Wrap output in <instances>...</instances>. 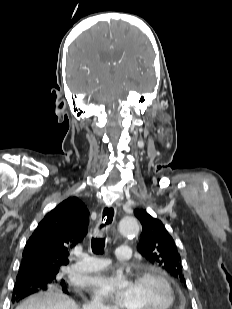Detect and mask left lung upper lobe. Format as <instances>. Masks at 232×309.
<instances>
[{"instance_id":"left-lung-upper-lobe-1","label":"left lung upper lobe","mask_w":232,"mask_h":309,"mask_svg":"<svg viewBox=\"0 0 232 309\" xmlns=\"http://www.w3.org/2000/svg\"><path fill=\"white\" fill-rule=\"evenodd\" d=\"M135 216L142 224L139 253L151 264L164 269L172 277L185 283L180 254L176 244L162 222L145 210H135Z\"/></svg>"}]
</instances>
